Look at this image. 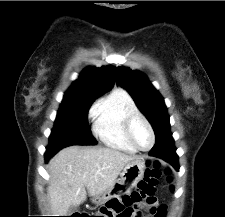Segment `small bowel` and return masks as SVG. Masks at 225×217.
I'll return each mask as SVG.
<instances>
[{
  "label": "small bowel",
  "instance_id": "c3829d8e",
  "mask_svg": "<svg viewBox=\"0 0 225 217\" xmlns=\"http://www.w3.org/2000/svg\"><path fill=\"white\" fill-rule=\"evenodd\" d=\"M156 205H157V202H156L155 198H152L150 200H147L145 203L140 202L138 204H135L131 208L124 209L119 214L118 217H135L137 212H141V210H140L141 207L145 206L149 212L151 209L157 208ZM141 214L144 215L142 212H141ZM150 216L151 215L148 214V215H145L144 217H150Z\"/></svg>",
  "mask_w": 225,
  "mask_h": 217
}]
</instances>
